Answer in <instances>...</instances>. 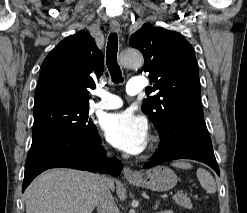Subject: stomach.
Segmentation results:
<instances>
[{"mask_svg": "<svg viewBox=\"0 0 247 213\" xmlns=\"http://www.w3.org/2000/svg\"><path fill=\"white\" fill-rule=\"evenodd\" d=\"M129 182L142 188L167 191L177 184V176L166 166H156L141 173L138 179L129 180Z\"/></svg>", "mask_w": 247, "mask_h": 213, "instance_id": "1", "label": "stomach"}]
</instances>
